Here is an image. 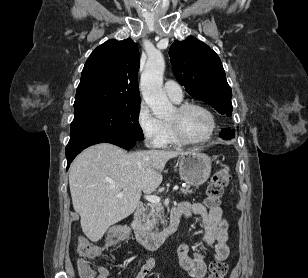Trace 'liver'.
Listing matches in <instances>:
<instances>
[{"label": "liver", "mask_w": 308, "mask_h": 278, "mask_svg": "<svg viewBox=\"0 0 308 278\" xmlns=\"http://www.w3.org/2000/svg\"><path fill=\"white\" fill-rule=\"evenodd\" d=\"M185 152L142 150L126 153L109 143L93 145L73 161L69 186L83 233L92 242L134 212L141 193L155 191L166 163ZM124 192L123 197L117 195Z\"/></svg>", "instance_id": "1"}]
</instances>
